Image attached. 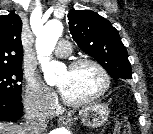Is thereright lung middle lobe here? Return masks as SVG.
I'll return each mask as SVG.
<instances>
[{
	"mask_svg": "<svg viewBox=\"0 0 153 134\" xmlns=\"http://www.w3.org/2000/svg\"><path fill=\"white\" fill-rule=\"evenodd\" d=\"M22 77L21 66L0 67V96L22 100L19 84Z\"/></svg>",
	"mask_w": 153,
	"mask_h": 134,
	"instance_id": "dd1d6c3e",
	"label": "right lung middle lobe"
}]
</instances>
